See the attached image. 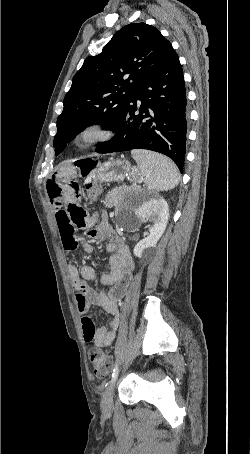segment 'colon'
<instances>
[{"label":"colon","mask_w":250,"mask_h":454,"mask_svg":"<svg viewBox=\"0 0 250 454\" xmlns=\"http://www.w3.org/2000/svg\"><path fill=\"white\" fill-rule=\"evenodd\" d=\"M101 194V188L96 184H89L86 187V196L90 201H96ZM89 359L94 373L98 377L107 375L111 370V357L99 348H92L89 351Z\"/></svg>","instance_id":"colon-1"}]
</instances>
